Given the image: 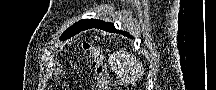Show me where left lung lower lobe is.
I'll list each match as a JSON object with an SVG mask.
<instances>
[{
  "mask_svg": "<svg viewBox=\"0 0 216 90\" xmlns=\"http://www.w3.org/2000/svg\"><path fill=\"white\" fill-rule=\"evenodd\" d=\"M89 28H98V29H103V30L108 31V32L121 33V34H123L125 36H128V37L132 38V36L129 35L128 33L116 30L112 23H108V22L105 23L104 21H98L97 23L91 25L87 29H89Z\"/></svg>",
  "mask_w": 216,
  "mask_h": 90,
  "instance_id": "0a47b994",
  "label": "left lung lower lobe"
}]
</instances>
